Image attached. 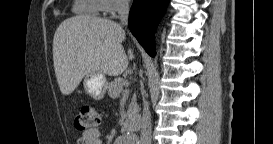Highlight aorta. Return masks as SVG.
Here are the masks:
<instances>
[{
	"label": "aorta",
	"instance_id": "762f6f07",
	"mask_svg": "<svg viewBox=\"0 0 273 144\" xmlns=\"http://www.w3.org/2000/svg\"><path fill=\"white\" fill-rule=\"evenodd\" d=\"M136 139L133 135L129 134L121 138V144H135Z\"/></svg>",
	"mask_w": 273,
	"mask_h": 144
}]
</instances>
